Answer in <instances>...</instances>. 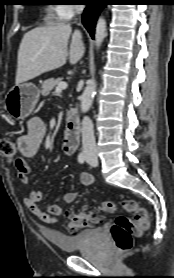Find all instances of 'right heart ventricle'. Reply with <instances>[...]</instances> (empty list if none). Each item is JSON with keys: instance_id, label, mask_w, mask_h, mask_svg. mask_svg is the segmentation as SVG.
I'll return each instance as SVG.
<instances>
[{"instance_id": "obj_1", "label": "right heart ventricle", "mask_w": 174, "mask_h": 278, "mask_svg": "<svg viewBox=\"0 0 174 278\" xmlns=\"http://www.w3.org/2000/svg\"><path fill=\"white\" fill-rule=\"evenodd\" d=\"M57 10L58 6H49L46 9V20L48 22H54L59 18Z\"/></svg>"}]
</instances>
